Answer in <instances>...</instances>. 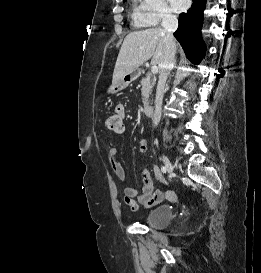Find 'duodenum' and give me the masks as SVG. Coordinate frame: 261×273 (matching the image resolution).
I'll return each instance as SVG.
<instances>
[{
    "label": "duodenum",
    "instance_id": "duodenum-1",
    "mask_svg": "<svg viewBox=\"0 0 261 273\" xmlns=\"http://www.w3.org/2000/svg\"><path fill=\"white\" fill-rule=\"evenodd\" d=\"M143 112L146 116H152L153 115V105L150 103H147L143 106Z\"/></svg>",
    "mask_w": 261,
    "mask_h": 273
}]
</instances>
